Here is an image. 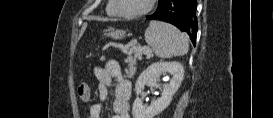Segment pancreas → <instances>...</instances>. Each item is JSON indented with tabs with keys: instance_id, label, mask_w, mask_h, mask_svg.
<instances>
[{
	"instance_id": "pancreas-1",
	"label": "pancreas",
	"mask_w": 273,
	"mask_h": 118,
	"mask_svg": "<svg viewBox=\"0 0 273 118\" xmlns=\"http://www.w3.org/2000/svg\"><path fill=\"white\" fill-rule=\"evenodd\" d=\"M142 47L134 46L130 50L126 51L128 57L125 59V62L128 64L125 68V72L128 77H132L136 72V61L141 58L143 51ZM133 54V55H132Z\"/></svg>"
}]
</instances>
